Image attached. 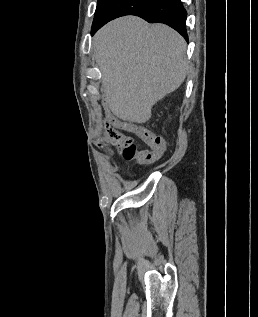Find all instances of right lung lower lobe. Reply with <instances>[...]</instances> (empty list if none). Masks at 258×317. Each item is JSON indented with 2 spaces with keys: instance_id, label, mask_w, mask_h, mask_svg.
<instances>
[{
  "instance_id": "1",
  "label": "right lung lower lobe",
  "mask_w": 258,
  "mask_h": 317,
  "mask_svg": "<svg viewBox=\"0 0 258 317\" xmlns=\"http://www.w3.org/2000/svg\"><path fill=\"white\" fill-rule=\"evenodd\" d=\"M124 15H136L150 23H164L188 41L187 12L181 0H98L91 35L110 20Z\"/></svg>"
}]
</instances>
